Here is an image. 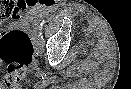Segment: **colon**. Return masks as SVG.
<instances>
[{"label": "colon", "instance_id": "1", "mask_svg": "<svg viewBox=\"0 0 131 89\" xmlns=\"http://www.w3.org/2000/svg\"><path fill=\"white\" fill-rule=\"evenodd\" d=\"M29 5L33 6L34 4ZM26 8V2L0 0V22L15 18ZM34 56L33 44L23 31H11L0 38V69L6 66L3 83L6 87L19 88L26 77Z\"/></svg>", "mask_w": 131, "mask_h": 89}]
</instances>
